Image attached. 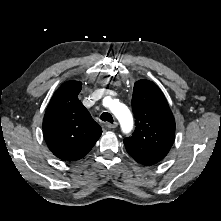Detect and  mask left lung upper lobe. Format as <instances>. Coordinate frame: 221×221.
<instances>
[{"label": "left lung upper lobe", "mask_w": 221, "mask_h": 221, "mask_svg": "<svg viewBox=\"0 0 221 221\" xmlns=\"http://www.w3.org/2000/svg\"><path fill=\"white\" fill-rule=\"evenodd\" d=\"M132 110L135 132L123 140L127 152L143 165H153L169 152L175 135V119L157 85L148 80L134 84Z\"/></svg>", "instance_id": "left-lung-upper-lobe-1"}]
</instances>
